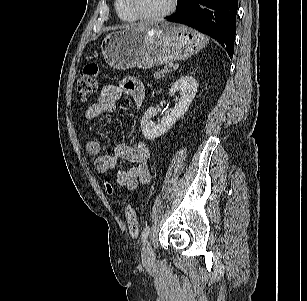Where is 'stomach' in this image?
<instances>
[{
    "mask_svg": "<svg viewBox=\"0 0 307 301\" xmlns=\"http://www.w3.org/2000/svg\"><path fill=\"white\" fill-rule=\"evenodd\" d=\"M206 43L204 35L189 27L161 22L112 32L105 37L101 51L107 64L114 69H149L187 59Z\"/></svg>",
    "mask_w": 307,
    "mask_h": 301,
    "instance_id": "stomach-1",
    "label": "stomach"
}]
</instances>
